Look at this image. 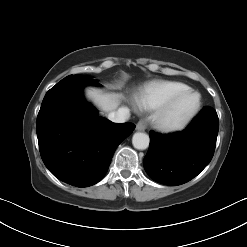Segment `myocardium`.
<instances>
[{
    "mask_svg": "<svg viewBox=\"0 0 247 247\" xmlns=\"http://www.w3.org/2000/svg\"><path fill=\"white\" fill-rule=\"evenodd\" d=\"M194 95L196 102L193 108L181 119L172 121L171 113L176 104L185 96ZM202 106L201 94L194 89H186L172 96L163 105L158 107L153 116L155 128L163 134H176L184 131L196 118Z\"/></svg>",
    "mask_w": 247,
    "mask_h": 247,
    "instance_id": "myocardium-1",
    "label": "myocardium"
}]
</instances>
